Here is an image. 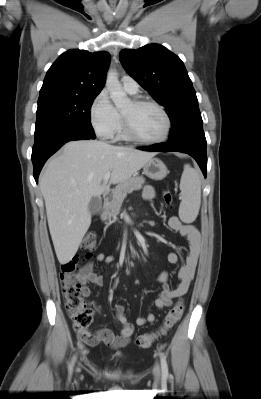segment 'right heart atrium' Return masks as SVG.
I'll return each mask as SVG.
<instances>
[{"mask_svg": "<svg viewBox=\"0 0 261 399\" xmlns=\"http://www.w3.org/2000/svg\"><path fill=\"white\" fill-rule=\"evenodd\" d=\"M90 122L96 134L103 139L113 138L121 124V117L105 90L99 92L89 110Z\"/></svg>", "mask_w": 261, "mask_h": 399, "instance_id": "d8ad5b80", "label": "right heart atrium"}]
</instances>
